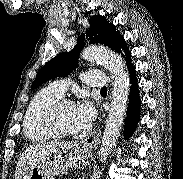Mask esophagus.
Returning <instances> with one entry per match:
<instances>
[{"label":"esophagus","instance_id":"obj_1","mask_svg":"<svg viewBox=\"0 0 183 179\" xmlns=\"http://www.w3.org/2000/svg\"><path fill=\"white\" fill-rule=\"evenodd\" d=\"M100 136H101V132L97 130L93 132L90 136L85 138L81 143L84 147L92 149L98 145Z\"/></svg>","mask_w":183,"mask_h":179}]
</instances>
